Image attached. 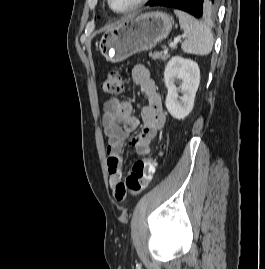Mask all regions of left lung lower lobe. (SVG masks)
I'll return each instance as SVG.
<instances>
[{"instance_id":"1","label":"left lung lower lobe","mask_w":265,"mask_h":269,"mask_svg":"<svg viewBox=\"0 0 265 269\" xmlns=\"http://www.w3.org/2000/svg\"><path fill=\"white\" fill-rule=\"evenodd\" d=\"M218 0H153L150 6H165L183 10L196 18L212 19L217 13Z\"/></svg>"}]
</instances>
